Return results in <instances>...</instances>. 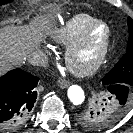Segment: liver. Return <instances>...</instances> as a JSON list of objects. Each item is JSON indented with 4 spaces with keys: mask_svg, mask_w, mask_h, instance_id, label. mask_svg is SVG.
Returning a JSON list of instances; mask_svg holds the SVG:
<instances>
[{
    "mask_svg": "<svg viewBox=\"0 0 133 133\" xmlns=\"http://www.w3.org/2000/svg\"><path fill=\"white\" fill-rule=\"evenodd\" d=\"M47 17L37 18L30 25L7 24L0 29V75L25 62L38 48L43 30H48Z\"/></svg>",
    "mask_w": 133,
    "mask_h": 133,
    "instance_id": "obj_1",
    "label": "liver"
}]
</instances>
